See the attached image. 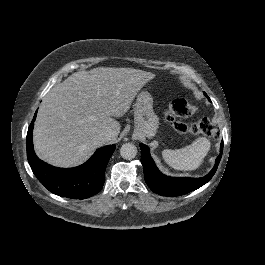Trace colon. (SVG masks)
Wrapping results in <instances>:
<instances>
[{"label":"colon","mask_w":265,"mask_h":265,"mask_svg":"<svg viewBox=\"0 0 265 265\" xmlns=\"http://www.w3.org/2000/svg\"><path fill=\"white\" fill-rule=\"evenodd\" d=\"M196 110L197 107L190 104L185 99H176L165 112V118L173 124L175 131L180 134H185L190 131L193 134L216 137L218 135V128L207 118L198 120L190 127L180 122L181 119L190 117Z\"/></svg>","instance_id":"obj_1"}]
</instances>
